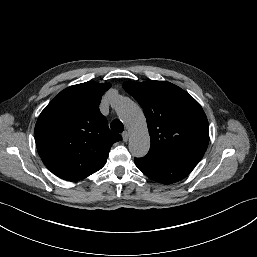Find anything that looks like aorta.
<instances>
[{
    "label": "aorta",
    "mask_w": 257,
    "mask_h": 257,
    "mask_svg": "<svg viewBox=\"0 0 257 257\" xmlns=\"http://www.w3.org/2000/svg\"><path fill=\"white\" fill-rule=\"evenodd\" d=\"M115 109L130 130L131 154L135 157L145 156L150 148V136L141 108L132 100L120 97L115 101Z\"/></svg>",
    "instance_id": "aorta-1"
}]
</instances>
